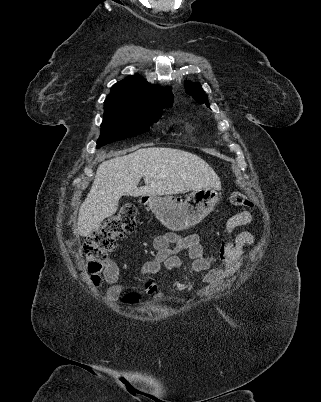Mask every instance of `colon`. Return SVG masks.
<instances>
[{"label":"colon","instance_id":"5ec220e1","mask_svg":"<svg viewBox=\"0 0 321 402\" xmlns=\"http://www.w3.org/2000/svg\"><path fill=\"white\" fill-rule=\"evenodd\" d=\"M233 206H250L251 200L240 192L229 196ZM137 211L132 205H124L112 217L105 220L98 228L88 234L82 244V252L87 272L91 281L99 285L105 270V261L109 253L116 248L117 239L131 233L136 226ZM127 302L135 303L137 297L129 295Z\"/></svg>","mask_w":321,"mask_h":402}]
</instances>
